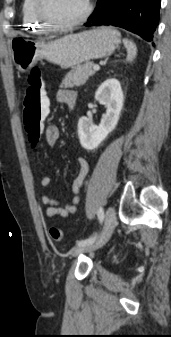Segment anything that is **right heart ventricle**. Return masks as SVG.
I'll use <instances>...</instances> for the list:
<instances>
[{
	"label": "right heart ventricle",
	"instance_id": "e07e8e85",
	"mask_svg": "<svg viewBox=\"0 0 171 337\" xmlns=\"http://www.w3.org/2000/svg\"><path fill=\"white\" fill-rule=\"evenodd\" d=\"M37 0H23L21 4V14L23 27L26 30L36 31L43 33L47 31V28L38 19L36 13Z\"/></svg>",
	"mask_w": 171,
	"mask_h": 337
}]
</instances>
